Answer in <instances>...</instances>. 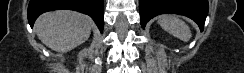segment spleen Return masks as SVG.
Masks as SVG:
<instances>
[{
  "label": "spleen",
  "instance_id": "obj_1",
  "mask_svg": "<svg viewBox=\"0 0 244 73\" xmlns=\"http://www.w3.org/2000/svg\"><path fill=\"white\" fill-rule=\"evenodd\" d=\"M158 24L162 29L184 42L191 38L189 26L175 15H162L158 19Z\"/></svg>",
  "mask_w": 244,
  "mask_h": 73
}]
</instances>
